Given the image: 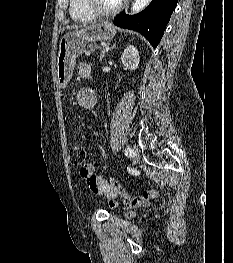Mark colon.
Wrapping results in <instances>:
<instances>
[{"mask_svg": "<svg viewBox=\"0 0 233 263\" xmlns=\"http://www.w3.org/2000/svg\"><path fill=\"white\" fill-rule=\"evenodd\" d=\"M70 162L74 166H82L85 167L84 162L86 159V151L82 146H73L70 148ZM87 181L90 184L95 183V178L93 176L87 175ZM112 188L116 191L118 195H120L123 199V202L128 207H140L146 205L150 200L156 199L159 197V191L156 189H151L142 192L141 194L130 197L120 186V184L116 181L108 182Z\"/></svg>", "mask_w": 233, "mask_h": 263, "instance_id": "5ec220e1", "label": "colon"}]
</instances>
